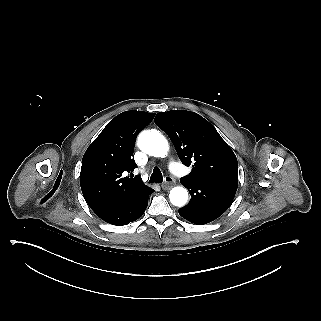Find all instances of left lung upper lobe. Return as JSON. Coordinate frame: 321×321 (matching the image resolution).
Returning <instances> with one entry per match:
<instances>
[{
    "label": "left lung upper lobe",
    "instance_id": "left-lung-upper-lobe-1",
    "mask_svg": "<svg viewBox=\"0 0 321 321\" xmlns=\"http://www.w3.org/2000/svg\"><path fill=\"white\" fill-rule=\"evenodd\" d=\"M175 146L183 164L192 166L180 181L237 176V158L214 126L197 113L186 110L160 112L154 119Z\"/></svg>",
    "mask_w": 321,
    "mask_h": 321
}]
</instances>
